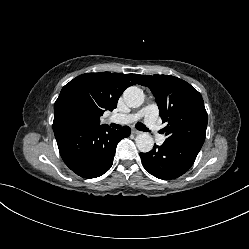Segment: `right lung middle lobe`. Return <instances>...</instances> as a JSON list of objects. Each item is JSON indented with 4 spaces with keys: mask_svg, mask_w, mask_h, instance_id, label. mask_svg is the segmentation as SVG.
<instances>
[{
    "mask_svg": "<svg viewBox=\"0 0 249 249\" xmlns=\"http://www.w3.org/2000/svg\"><path fill=\"white\" fill-rule=\"evenodd\" d=\"M84 117V109L76 102L65 103L59 111V120L62 123L80 125Z\"/></svg>",
    "mask_w": 249,
    "mask_h": 249,
    "instance_id": "1",
    "label": "right lung middle lobe"
}]
</instances>
